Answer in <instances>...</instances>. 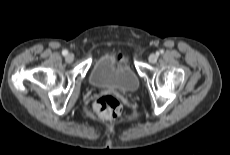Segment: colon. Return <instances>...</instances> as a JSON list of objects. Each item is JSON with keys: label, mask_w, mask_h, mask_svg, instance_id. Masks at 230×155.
Masks as SVG:
<instances>
[{"label": "colon", "mask_w": 230, "mask_h": 155, "mask_svg": "<svg viewBox=\"0 0 230 155\" xmlns=\"http://www.w3.org/2000/svg\"><path fill=\"white\" fill-rule=\"evenodd\" d=\"M95 110L97 114L107 120L117 118L122 112V106L119 100L111 95L104 94L100 96L95 102Z\"/></svg>", "instance_id": "colon-1"}]
</instances>
